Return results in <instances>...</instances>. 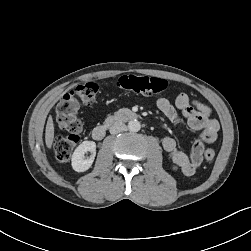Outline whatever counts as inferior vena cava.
I'll return each instance as SVG.
<instances>
[{"mask_svg":"<svg viewBox=\"0 0 251 251\" xmlns=\"http://www.w3.org/2000/svg\"><path fill=\"white\" fill-rule=\"evenodd\" d=\"M127 129L126 125L122 122H117V123H114L111 127H110V133L111 134H117V133H120V132H123Z\"/></svg>","mask_w":251,"mask_h":251,"instance_id":"602c4592","label":"inferior vena cava"}]
</instances>
